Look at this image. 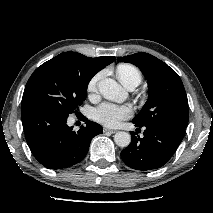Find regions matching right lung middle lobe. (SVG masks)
<instances>
[{"label":"right lung middle lobe","instance_id":"1","mask_svg":"<svg viewBox=\"0 0 213 213\" xmlns=\"http://www.w3.org/2000/svg\"><path fill=\"white\" fill-rule=\"evenodd\" d=\"M93 75L82 66L57 57L39 66L29 78L22 105L35 103L68 117L86 99Z\"/></svg>","mask_w":213,"mask_h":213}]
</instances>
